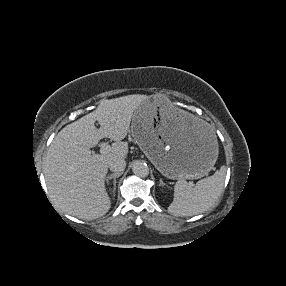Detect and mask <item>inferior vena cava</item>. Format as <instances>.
Segmentation results:
<instances>
[{
  "mask_svg": "<svg viewBox=\"0 0 286 286\" xmlns=\"http://www.w3.org/2000/svg\"><path fill=\"white\" fill-rule=\"evenodd\" d=\"M126 167V161L122 157H115L109 162V168L115 173L124 171Z\"/></svg>",
  "mask_w": 286,
  "mask_h": 286,
  "instance_id": "inferior-vena-cava-1",
  "label": "inferior vena cava"
}]
</instances>
